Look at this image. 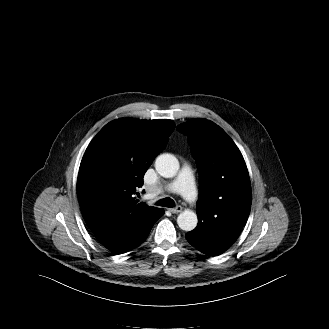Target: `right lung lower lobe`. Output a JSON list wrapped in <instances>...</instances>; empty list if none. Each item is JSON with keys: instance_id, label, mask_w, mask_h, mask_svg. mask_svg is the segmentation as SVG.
Listing matches in <instances>:
<instances>
[{"instance_id": "98d812e1", "label": "right lung lower lobe", "mask_w": 329, "mask_h": 329, "mask_svg": "<svg viewBox=\"0 0 329 329\" xmlns=\"http://www.w3.org/2000/svg\"><path fill=\"white\" fill-rule=\"evenodd\" d=\"M164 214L159 209L139 221L114 222L94 233L97 240L113 254H122L140 246L148 237L154 223Z\"/></svg>"}]
</instances>
